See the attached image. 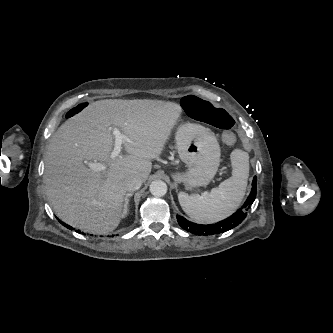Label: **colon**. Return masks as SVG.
<instances>
[{"instance_id": "obj_1", "label": "colon", "mask_w": 333, "mask_h": 333, "mask_svg": "<svg viewBox=\"0 0 333 333\" xmlns=\"http://www.w3.org/2000/svg\"><path fill=\"white\" fill-rule=\"evenodd\" d=\"M86 103H80L71 108L67 113V118H72L80 114ZM182 106L190 117L200 122L209 124L221 130H231L234 121L232 117L221 108L215 107L211 102L199 96L189 95L183 98Z\"/></svg>"}]
</instances>
